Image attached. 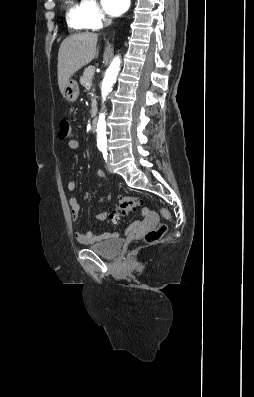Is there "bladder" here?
<instances>
[{
	"label": "bladder",
	"instance_id": "obj_1",
	"mask_svg": "<svg viewBox=\"0 0 254 397\" xmlns=\"http://www.w3.org/2000/svg\"><path fill=\"white\" fill-rule=\"evenodd\" d=\"M89 249L104 258H114L121 250V241L119 239H111L91 245Z\"/></svg>",
	"mask_w": 254,
	"mask_h": 397
}]
</instances>
